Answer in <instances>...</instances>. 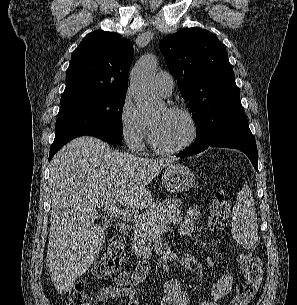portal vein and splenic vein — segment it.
Listing matches in <instances>:
<instances>
[{
  "label": "portal vein and splenic vein",
  "instance_id": "portal-vein-and-splenic-vein-1",
  "mask_svg": "<svg viewBox=\"0 0 297 305\" xmlns=\"http://www.w3.org/2000/svg\"><path fill=\"white\" fill-rule=\"evenodd\" d=\"M103 211L110 216L122 218V219L129 220L133 216L129 210L119 208V207L115 206L114 204L104 207Z\"/></svg>",
  "mask_w": 297,
  "mask_h": 305
}]
</instances>
